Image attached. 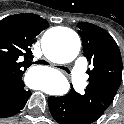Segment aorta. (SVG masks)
I'll list each match as a JSON object with an SVG mask.
<instances>
[{
  "label": "aorta",
  "instance_id": "obj_1",
  "mask_svg": "<svg viewBox=\"0 0 124 124\" xmlns=\"http://www.w3.org/2000/svg\"><path fill=\"white\" fill-rule=\"evenodd\" d=\"M42 44L46 56L58 63L71 62L77 57L80 51L79 36L73 30L64 27L60 28L55 35H45ZM30 87L39 90L49 89L44 84V79L41 76H35L30 81ZM68 90L69 83L67 79L59 75L57 84L53 86L52 91H47V93L62 95Z\"/></svg>",
  "mask_w": 124,
  "mask_h": 124
}]
</instances>
